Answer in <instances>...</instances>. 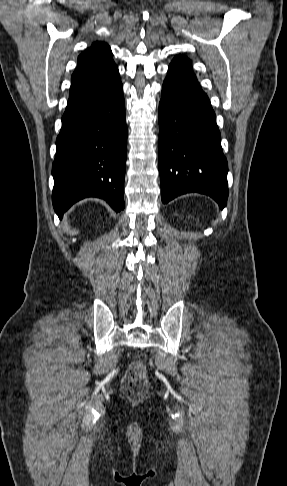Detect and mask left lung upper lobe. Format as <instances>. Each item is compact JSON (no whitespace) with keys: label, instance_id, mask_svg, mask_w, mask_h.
<instances>
[{"label":"left lung upper lobe","instance_id":"obj_1","mask_svg":"<svg viewBox=\"0 0 287 486\" xmlns=\"http://www.w3.org/2000/svg\"><path fill=\"white\" fill-rule=\"evenodd\" d=\"M177 57H178V58L183 59L184 61H186V62H188V63H190V64H192V63H191V61H190V60H189V59H188L186 56H184V55H182V56H177Z\"/></svg>","mask_w":287,"mask_h":486}]
</instances>
